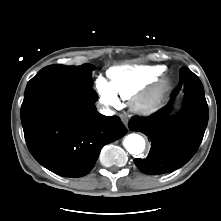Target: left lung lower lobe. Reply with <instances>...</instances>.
<instances>
[{
  "label": "left lung lower lobe",
  "instance_id": "left-lung-lower-lobe-1",
  "mask_svg": "<svg viewBox=\"0 0 221 221\" xmlns=\"http://www.w3.org/2000/svg\"><path fill=\"white\" fill-rule=\"evenodd\" d=\"M184 88V106L177 116H170L171 103ZM208 123V105L200 79L188 68L180 69V81L167 106L150 117H134L132 131L147 135L152 143L146 159H135L145 174L159 175L182 167L196 153Z\"/></svg>",
  "mask_w": 221,
  "mask_h": 221
}]
</instances>
